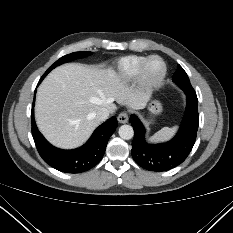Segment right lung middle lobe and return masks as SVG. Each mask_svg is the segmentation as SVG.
<instances>
[{
    "label": "right lung middle lobe",
    "instance_id": "right-lung-middle-lobe-1",
    "mask_svg": "<svg viewBox=\"0 0 233 233\" xmlns=\"http://www.w3.org/2000/svg\"><path fill=\"white\" fill-rule=\"evenodd\" d=\"M90 54L91 52H74V53L65 55L61 57L60 59H58L51 67H49V69L45 72V74L42 77H45L52 69H54L56 66L63 64L64 62H69L74 59L83 58Z\"/></svg>",
    "mask_w": 233,
    "mask_h": 233
}]
</instances>
